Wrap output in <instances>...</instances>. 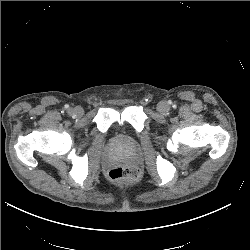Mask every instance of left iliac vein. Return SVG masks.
I'll use <instances>...</instances> for the list:
<instances>
[{
	"instance_id": "left-iliac-vein-1",
	"label": "left iliac vein",
	"mask_w": 250,
	"mask_h": 250,
	"mask_svg": "<svg viewBox=\"0 0 250 250\" xmlns=\"http://www.w3.org/2000/svg\"><path fill=\"white\" fill-rule=\"evenodd\" d=\"M157 109L160 113L166 114L168 113L170 107L165 101H161L158 103Z\"/></svg>"
}]
</instances>
